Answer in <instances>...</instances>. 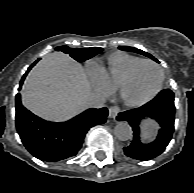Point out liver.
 Returning <instances> with one entry per match:
<instances>
[{"instance_id":"6515ba94","label":"liver","mask_w":194,"mask_h":193,"mask_svg":"<svg viewBox=\"0 0 194 193\" xmlns=\"http://www.w3.org/2000/svg\"><path fill=\"white\" fill-rule=\"evenodd\" d=\"M91 94L81 64L63 53L44 57L28 74L21 90L22 104L50 121H66L84 111Z\"/></svg>"}]
</instances>
